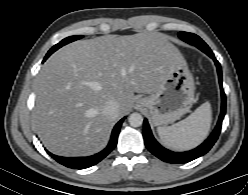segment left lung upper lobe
I'll list each match as a JSON object with an SVG mask.
<instances>
[{
    "instance_id": "obj_1",
    "label": "left lung upper lobe",
    "mask_w": 248,
    "mask_h": 195,
    "mask_svg": "<svg viewBox=\"0 0 248 195\" xmlns=\"http://www.w3.org/2000/svg\"><path fill=\"white\" fill-rule=\"evenodd\" d=\"M178 36L185 42L190 43L197 48H204L206 50H211L208 45L197 35L188 32H179Z\"/></svg>"
}]
</instances>
